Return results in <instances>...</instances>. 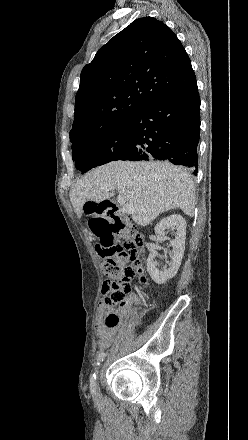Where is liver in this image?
<instances>
[{
	"label": "liver",
	"instance_id": "6515ba94",
	"mask_svg": "<svg viewBox=\"0 0 248 440\" xmlns=\"http://www.w3.org/2000/svg\"><path fill=\"white\" fill-rule=\"evenodd\" d=\"M102 189H116L134 208L132 219L140 226L149 225L159 214L175 208L188 216L194 213L195 188L191 174L169 162L113 161L91 170L69 193L78 218L86 202L100 203L110 198L109 192Z\"/></svg>",
	"mask_w": 248,
	"mask_h": 440
}]
</instances>
